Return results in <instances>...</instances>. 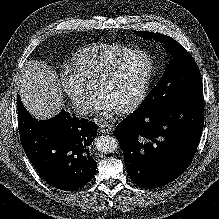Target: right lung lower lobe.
I'll return each mask as SVG.
<instances>
[{
	"mask_svg": "<svg viewBox=\"0 0 219 219\" xmlns=\"http://www.w3.org/2000/svg\"><path fill=\"white\" fill-rule=\"evenodd\" d=\"M18 129L26 155L51 186L77 190L93 178L97 162L89 146L97 135L96 124L62 111L49 120H36L17 96Z\"/></svg>",
	"mask_w": 219,
	"mask_h": 219,
	"instance_id": "right-lung-lower-lobe-1",
	"label": "right lung lower lobe"
}]
</instances>
